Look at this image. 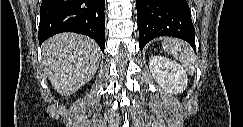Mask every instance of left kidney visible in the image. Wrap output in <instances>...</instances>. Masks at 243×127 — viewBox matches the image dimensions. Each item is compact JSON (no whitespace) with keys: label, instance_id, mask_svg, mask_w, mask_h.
I'll list each match as a JSON object with an SVG mask.
<instances>
[{"label":"left kidney","instance_id":"5707ae66","mask_svg":"<svg viewBox=\"0 0 243 127\" xmlns=\"http://www.w3.org/2000/svg\"><path fill=\"white\" fill-rule=\"evenodd\" d=\"M149 67L153 78L170 94H179L187 87V74L183 67L168 58L152 56Z\"/></svg>","mask_w":243,"mask_h":127}]
</instances>
